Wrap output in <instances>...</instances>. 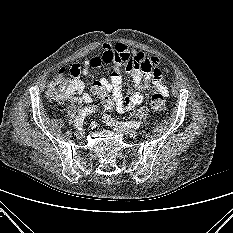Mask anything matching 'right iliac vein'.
<instances>
[{
  "mask_svg": "<svg viewBox=\"0 0 233 233\" xmlns=\"http://www.w3.org/2000/svg\"><path fill=\"white\" fill-rule=\"evenodd\" d=\"M76 137L79 139H82L85 137V131L83 129H80L76 132Z\"/></svg>",
  "mask_w": 233,
  "mask_h": 233,
  "instance_id": "63e3f726",
  "label": "right iliac vein"
}]
</instances>
